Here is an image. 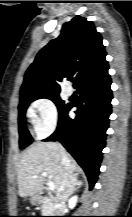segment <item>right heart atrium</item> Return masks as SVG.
Listing matches in <instances>:
<instances>
[{
    "label": "right heart atrium",
    "instance_id": "d8ad5b80",
    "mask_svg": "<svg viewBox=\"0 0 132 217\" xmlns=\"http://www.w3.org/2000/svg\"><path fill=\"white\" fill-rule=\"evenodd\" d=\"M33 109L36 112L34 126L37 135H50L58 124V109L55 102L50 98H40L33 102Z\"/></svg>",
    "mask_w": 132,
    "mask_h": 217
}]
</instances>
